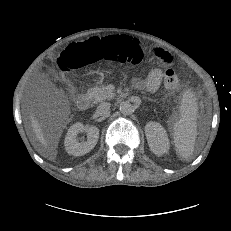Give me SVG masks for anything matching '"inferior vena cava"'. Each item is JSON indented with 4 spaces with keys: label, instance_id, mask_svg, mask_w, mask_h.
<instances>
[{
    "label": "inferior vena cava",
    "instance_id": "obj_1",
    "mask_svg": "<svg viewBox=\"0 0 231 231\" xmlns=\"http://www.w3.org/2000/svg\"><path fill=\"white\" fill-rule=\"evenodd\" d=\"M110 107H111L110 103H107V102L101 103L98 105L96 109V113L98 115H105L110 111Z\"/></svg>",
    "mask_w": 231,
    "mask_h": 231
}]
</instances>
